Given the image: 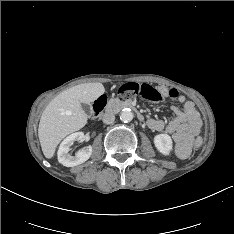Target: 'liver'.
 Wrapping results in <instances>:
<instances>
[{
	"label": "liver",
	"instance_id": "6515ba94",
	"mask_svg": "<svg viewBox=\"0 0 234 234\" xmlns=\"http://www.w3.org/2000/svg\"><path fill=\"white\" fill-rule=\"evenodd\" d=\"M101 83H84L63 91L44 109L39 122L38 136L43 154L53 157L57 145L72 132L87 123V114L81 103L90 104L104 94Z\"/></svg>",
	"mask_w": 234,
	"mask_h": 234
}]
</instances>
